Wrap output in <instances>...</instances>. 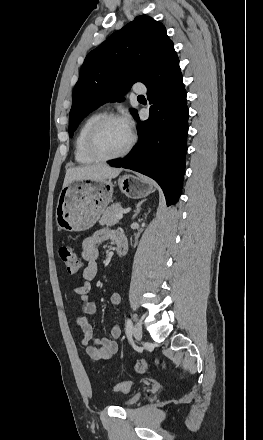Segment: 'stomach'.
Wrapping results in <instances>:
<instances>
[{
    "mask_svg": "<svg viewBox=\"0 0 263 440\" xmlns=\"http://www.w3.org/2000/svg\"><path fill=\"white\" fill-rule=\"evenodd\" d=\"M118 186L127 197L139 199L154 191L153 184L141 177L126 174L118 179ZM112 184L107 181L75 180L64 186L56 207V223L67 232L91 228L112 201Z\"/></svg>",
    "mask_w": 263,
    "mask_h": 440,
    "instance_id": "stomach-1",
    "label": "stomach"
}]
</instances>
